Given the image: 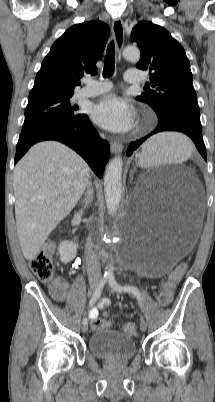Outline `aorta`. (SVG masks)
Masks as SVG:
<instances>
[{"label":"aorta","instance_id":"1","mask_svg":"<svg viewBox=\"0 0 215 402\" xmlns=\"http://www.w3.org/2000/svg\"><path fill=\"white\" fill-rule=\"evenodd\" d=\"M123 57L132 62H138L140 59V51L137 47L127 46L123 50ZM122 157H114L108 164L104 175V191L107 209L110 214H114L120 205L122 192ZM105 276L113 277L112 268L109 267Z\"/></svg>","mask_w":215,"mask_h":402}]
</instances>
